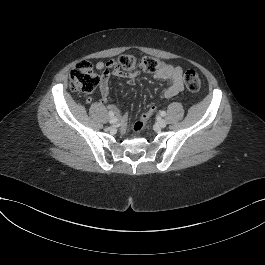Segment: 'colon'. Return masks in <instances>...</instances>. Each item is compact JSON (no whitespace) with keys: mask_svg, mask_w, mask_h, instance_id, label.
<instances>
[{"mask_svg":"<svg viewBox=\"0 0 265 265\" xmlns=\"http://www.w3.org/2000/svg\"><path fill=\"white\" fill-rule=\"evenodd\" d=\"M118 66L124 73H136L144 71L147 73H155L164 68V63L155 57L144 56L136 58L133 55H122L118 60ZM186 88L191 92H196L200 89L201 79L195 70H187L183 76ZM99 84V76L95 72L93 65L88 61L79 62L71 71L70 87L75 91L82 93H91ZM156 108L151 107L144 113L140 120L134 124V131L141 133L146 127L147 121L154 114Z\"/></svg>","mask_w":265,"mask_h":265,"instance_id":"colon-1","label":"colon"}]
</instances>
